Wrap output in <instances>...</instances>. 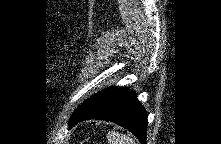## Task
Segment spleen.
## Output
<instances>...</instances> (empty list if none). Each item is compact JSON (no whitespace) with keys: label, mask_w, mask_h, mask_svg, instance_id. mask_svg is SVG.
<instances>
[{"label":"spleen","mask_w":221,"mask_h":144,"mask_svg":"<svg viewBox=\"0 0 221 144\" xmlns=\"http://www.w3.org/2000/svg\"><path fill=\"white\" fill-rule=\"evenodd\" d=\"M106 137L109 144H136L129 136L115 131L108 132Z\"/></svg>","instance_id":"obj_1"}]
</instances>
